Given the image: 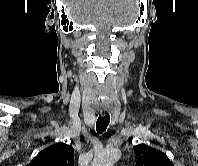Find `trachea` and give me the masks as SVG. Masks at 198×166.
<instances>
[{"instance_id":"3493384b","label":"trachea","mask_w":198,"mask_h":166,"mask_svg":"<svg viewBox=\"0 0 198 166\" xmlns=\"http://www.w3.org/2000/svg\"><path fill=\"white\" fill-rule=\"evenodd\" d=\"M110 122V116L109 114L106 115H99L97 122H96V131L101 134L103 133L106 129L107 126L109 125Z\"/></svg>"}]
</instances>
